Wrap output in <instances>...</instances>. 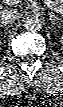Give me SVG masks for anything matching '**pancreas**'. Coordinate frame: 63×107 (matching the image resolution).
Listing matches in <instances>:
<instances>
[{
  "mask_svg": "<svg viewBox=\"0 0 63 107\" xmlns=\"http://www.w3.org/2000/svg\"><path fill=\"white\" fill-rule=\"evenodd\" d=\"M57 8L63 9V0H53L52 1Z\"/></svg>",
  "mask_w": 63,
  "mask_h": 107,
  "instance_id": "1",
  "label": "pancreas"
}]
</instances>
